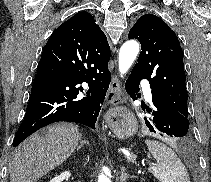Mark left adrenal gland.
Segmentation results:
<instances>
[{
    "instance_id": "obj_1",
    "label": "left adrenal gland",
    "mask_w": 211,
    "mask_h": 182,
    "mask_svg": "<svg viewBox=\"0 0 211 182\" xmlns=\"http://www.w3.org/2000/svg\"><path fill=\"white\" fill-rule=\"evenodd\" d=\"M134 177H135L134 175H129L128 173H126L125 167L121 168L120 182H126L128 178H134Z\"/></svg>"
}]
</instances>
